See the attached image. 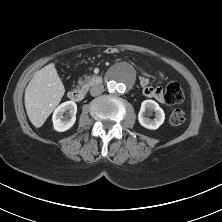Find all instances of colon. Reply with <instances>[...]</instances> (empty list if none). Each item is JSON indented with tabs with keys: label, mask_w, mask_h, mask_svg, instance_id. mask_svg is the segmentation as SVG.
Returning <instances> with one entry per match:
<instances>
[{
	"label": "colon",
	"mask_w": 222,
	"mask_h": 222,
	"mask_svg": "<svg viewBox=\"0 0 222 222\" xmlns=\"http://www.w3.org/2000/svg\"><path fill=\"white\" fill-rule=\"evenodd\" d=\"M165 100L169 104L179 103L183 100L184 94L179 83L170 81L165 88ZM186 119V113L182 109H175L169 118L170 124L177 126L184 123Z\"/></svg>",
	"instance_id": "1"
}]
</instances>
